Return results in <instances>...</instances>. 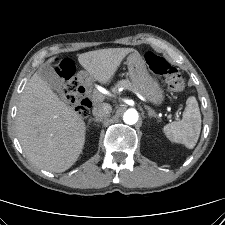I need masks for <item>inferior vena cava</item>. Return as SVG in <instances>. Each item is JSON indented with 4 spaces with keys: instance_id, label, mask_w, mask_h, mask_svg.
I'll use <instances>...</instances> for the list:
<instances>
[{
    "instance_id": "602c4592",
    "label": "inferior vena cava",
    "mask_w": 225,
    "mask_h": 225,
    "mask_svg": "<svg viewBox=\"0 0 225 225\" xmlns=\"http://www.w3.org/2000/svg\"><path fill=\"white\" fill-rule=\"evenodd\" d=\"M112 111V107L109 104L101 103L97 104L93 110L92 113L97 119H104L110 115Z\"/></svg>"
}]
</instances>
